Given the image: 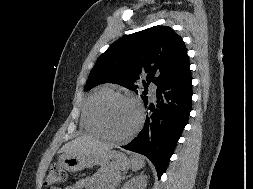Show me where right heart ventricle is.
Returning a JSON list of instances; mask_svg holds the SVG:
<instances>
[{
	"label": "right heart ventricle",
	"mask_w": 253,
	"mask_h": 189,
	"mask_svg": "<svg viewBox=\"0 0 253 189\" xmlns=\"http://www.w3.org/2000/svg\"><path fill=\"white\" fill-rule=\"evenodd\" d=\"M109 92H111V90L107 87L98 88L86 99L83 104L81 122L84 129L92 135L102 136V133L93 118V106L99 97Z\"/></svg>",
	"instance_id": "right-heart-ventricle-1"
}]
</instances>
